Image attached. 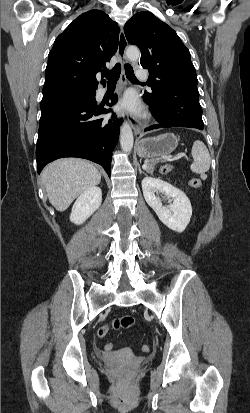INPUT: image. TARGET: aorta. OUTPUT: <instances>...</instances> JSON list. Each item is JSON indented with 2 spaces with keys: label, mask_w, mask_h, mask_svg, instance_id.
I'll list each match as a JSON object with an SVG mask.
<instances>
[{
  "label": "aorta",
  "mask_w": 250,
  "mask_h": 413,
  "mask_svg": "<svg viewBox=\"0 0 250 413\" xmlns=\"http://www.w3.org/2000/svg\"><path fill=\"white\" fill-rule=\"evenodd\" d=\"M126 57L129 60H132V61H135V60L139 59V57H140L139 49L136 48V47H129L126 50ZM133 143H134V139H133L132 128H131L130 124L127 121H125L122 124L121 130H120V145H121V148L125 152H130L133 148Z\"/></svg>",
  "instance_id": "aorta-1"
}]
</instances>
